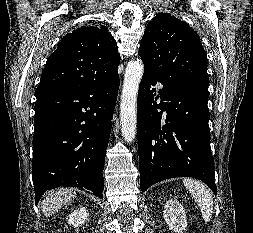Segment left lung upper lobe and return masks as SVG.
Here are the masks:
<instances>
[{"instance_id": "obj_1", "label": "left lung upper lobe", "mask_w": 253, "mask_h": 233, "mask_svg": "<svg viewBox=\"0 0 253 233\" xmlns=\"http://www.w3.org/2000/svg\"><path fill=\"white\" fill-rule=\"evenodd\" d=\"M144 67L163 84L208 87L207 55L198 34L185 22L159 13L146 27L138 52Z\"/></svg>"}]
</instances>
